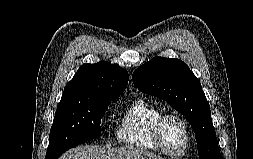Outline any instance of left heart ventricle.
I'll list each match as a JSON object with an SVG mask.
<instances>
[{
  "instance_id": "b2bd125f",
  "label": "left heart ventricle",
  "mask_w": 253,
  "mask_h": 159,
  "mask_svg": "<svg viewBox=\"0 0 253 159\" xmlns=\"http://www.w3.org/2000/svg\"><path fill=\"white\" fill-rule=\"evenodd\" d=\"M162 141L171 152H180L183 148L185 136L181 124L175 119L167 120L162 128Z\"/></svg>"
}]
</instances>
